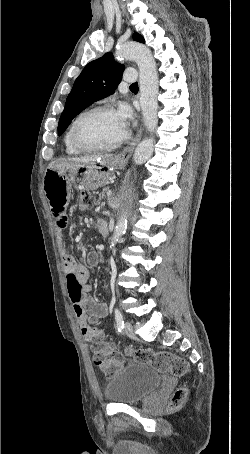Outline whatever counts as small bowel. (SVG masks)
<instances>
[{
  "label": "small bowel",
  "mask_w": 250,
  "mask_h": 454,
  "mask_svg": "<svg viewBox=\"0 0 250 454\" xmlns=\"http://www.w3.org/2000/svg\"><path fill=\"white\" fill-rule=\"evenodd\" d=\"M44 188L55 224L63 229L67 224V207L76 190L75 176L71 172L48 171ZM104 227V224H99L100 231ZM87 259L90 263H95L98 259L97 253L88 252ZM62 262L66 273L68 295L73 303L81 334L86 341H92L95 328L90 325V321L106 317L109 306L106 303H98L88 296L92 291V285L86 267L66 251L63 252Z\"/></svg>",
  "instance_id": "obj_1"
}]
</instances>
